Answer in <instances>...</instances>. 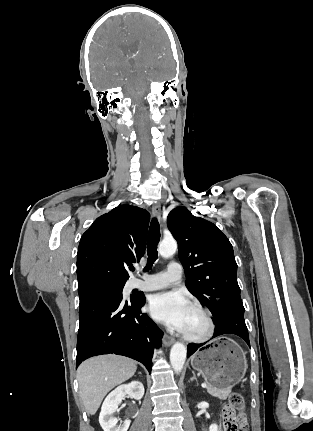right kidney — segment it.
<instances>
[{"instance_id":"obj_1","label":"right kidney","mask_w":313,"mask_h":431,"mask_svg":"<svg viewBox=\"0 0 313 431\" xmlns=\"http://www.w3.org/2000/svg\"><path fill=\"white\" fill-rule=\"evenodd\" d=\"M128 395L133 399L140 400L144 395L143 384L133 381L123 384L113 390L104 400L99 415V423L104 431H127L130 420H125L118 425V419L114 416L118 410V405Z\"/></svg>"}]
</instances>
